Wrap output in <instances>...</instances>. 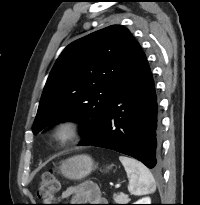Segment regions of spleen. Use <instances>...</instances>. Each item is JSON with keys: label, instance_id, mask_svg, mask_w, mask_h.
Masks as SVG:
<instances>
[{"label": "spleen", "instance_id": "1", "mask_svg": "<svg viewBox=\"0 0 200 205\" xmlns=\"http://www.w3.org/2000/svg\"><path fill=\"white\" fill-rule=\"evenodd\" d=\"M119 160L129 178L128 191L131 194L144 195L156 190L155 179L143 163L127 156H120Z\"/></svg>", "mask_w": 200, "mask_h": 205}]
</instances>
